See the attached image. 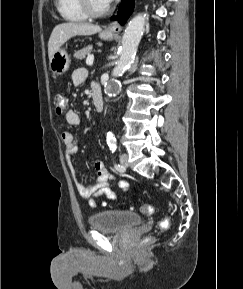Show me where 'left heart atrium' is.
Listing matches in <instances>:
<instances>
[{
    "label": "left heart atrium",
    "mask_w": 243,
    "mask_h": 289,
    "mask_svg": "<svg viewBox=\"0 0 243 289\" xmlns=\"http://www.w3.org/2000/svg\"><path fill=\"white\" fill-rule=\"evenodd\" d=\"M114 0H103V2L107 5H109L110 3H112Z\"/></svg>",
    "instance_id": "1"
}]
</instances>
